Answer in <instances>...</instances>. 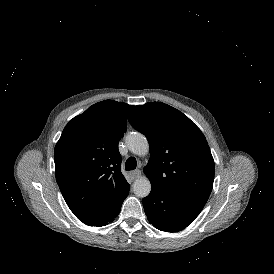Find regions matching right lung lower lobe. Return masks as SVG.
Listing matches in <instances>:
<instances>
[{
  "instance_id": "1",
  "label": "right lung lower lobe",
  "mask_w": 274,
  "mask_h": 274,
  "mask_svg": "<svg viewBox=\"0 0 274 274\" xmlns=\"http://www.w3.org/2000/svg\"><path fill=\"white\" fill-rule=\"evenodd\" d=\"M128 193H129V190L126 191L125 194L122 196V198L119 200V202L117 203L116 207L113 209L112 214L109 216V218L106 219L105 222H103L102 224L95 225V226H104L107 223L113 221L114 218L119 214L122 203H123L124 199L127 197Z\"/></svg>"
}]
</instances>
